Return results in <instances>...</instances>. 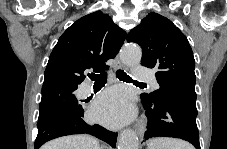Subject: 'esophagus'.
Instances as JSON below:
<instances>
[{
    "mask_svg": "<svg viewBox=\"0 0 227 149\" xmlns=\"http://www.w3.org/2000/svg\"><path fill=\"white\" fill-rule=\"evenodd\" d=\"M121 68H123V63L120 60L119 56L117 55L116 62H115V69H121ZM136 130L139 136H143L146 130L145 124L143 122H140L137 125Z\"/></svg>",
    "mask_w": 227,
    "mask_h": 149,
    "instance_id": "esophagus-1",
    "label": "esophagus"
}]
</instances>
